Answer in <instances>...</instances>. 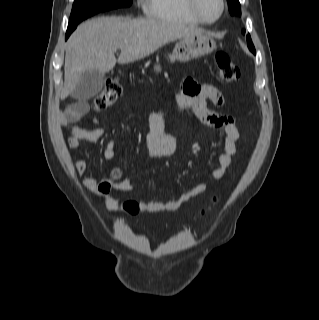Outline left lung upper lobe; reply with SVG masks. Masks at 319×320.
<instances>
[{
	"instance_id": "left-lung-upper-lobe-1",
	"label": "left lung upper lobe",
	"mask_w": 319,
	"mask_h": 320,
	"mask_svg": "<svg viewBox=\"0 0 319 320\" xmlns=\"http://www.w3.org/2000/svg\"><path fill=\"white\" fill-rule=\"evenodd\" d=\"M227 1H228V8H229L230 14L241 16V7H240L239 0H227ZM246 39H247L248 48L250 49V51H252L255 54L256 53L255 48L250 38V35H247Z\"/></svg>"
}]
</instances>
